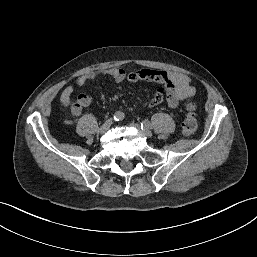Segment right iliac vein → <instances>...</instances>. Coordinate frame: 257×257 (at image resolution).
Segmentation results:
<instances>
[{"instance_id": "63e3f726", "label": "right iliac vein", "mask_w": 257, "mask_h": 257, "mask_svg": "<svg viewBox=\"0 0 257 257\" xmlns=\"http://www.w3.org/2000/svg\"><path fill=\"white\" fill-rule=\"evenodd\" d=\"M112 125V120L106 121L99 129L100 133H105Z\"/></svg>"}]
</instances>
